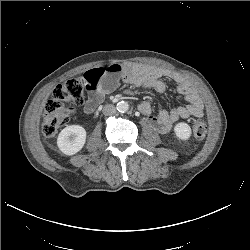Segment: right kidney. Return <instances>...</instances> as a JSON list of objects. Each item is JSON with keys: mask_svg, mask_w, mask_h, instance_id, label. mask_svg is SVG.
<instances>
[{"mask_svg": "<svg viewBox=\"0 0 250 250\" xmlns=\"http://www.w3.org/2000/svg\"><path fill=\"white\" fill-rule=\"evenodd\" d=\"M86 141V130L80 125L65 127L58 135L57 145L65 155H74L79 152Z\"/></svg>", "mask_w": 250, "mask_h": 250, "instance_id": "obj_1", "label": "right kidney"}]
</instances>
